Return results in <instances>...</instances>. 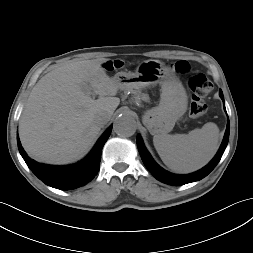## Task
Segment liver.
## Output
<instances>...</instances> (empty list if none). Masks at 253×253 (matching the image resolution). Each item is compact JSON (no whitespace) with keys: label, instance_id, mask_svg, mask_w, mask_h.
<instances>
[{"label":"liver","instance_id":"6515ba94","mask_svg":"<svg viewBox=\"0 0 253 253\" xmlns=\"http://www.w3.org/2000/svg\"><path fill=\"white\" fill-rule=\"evenodd\" d=\"M108 59L71 61L43 76L32 89L19 125L28 155L49 164H67L83 157L100 129L95 117H110L120 99L118 85L102 65ZM99 95L91 98L86 87Z\"/></svg>","mask_w":253,"mask_h":253}]
</instances>
